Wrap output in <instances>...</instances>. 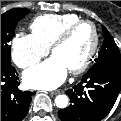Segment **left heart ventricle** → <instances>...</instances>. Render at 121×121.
<instances>
[{
  "instance_id": "1",
  "label": "left heart ventricle",
  "mask_w": 121,
  "mask_h": 121,
  "mask_svg": "<svg viewBox=\"0 0 121 121\" xmlns=\"http://www.w3.org/2000/svg\"><path fill=\"white\" fill-rule=\"evenodd\" d=\"M93 41L92 30L88 25L79 27L71 37L53 54L59 57L68 71L80 65L86 58Z\"/></svg>"
}]
</instances>
